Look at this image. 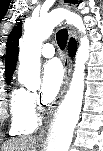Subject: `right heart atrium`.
Listing matches in <instances>:
<instances>
[{
  "instance_id": "obj_1",
  "label": "right heart atrium",
  "mask_w": 103,
  "mask_h": 151,
  "mask_svg": "<svg viewBox=\"0 0 103 151\" xmlns=\"http://www.w3.org/2000/svg\"><path fill=\"white\" fill-rule=\"evenodd\" d=\"M29 104L31 108L33 109V111L35 112L38 107V103L35 96L32 93H29Z\"/></svg>"
}]
</instances>
